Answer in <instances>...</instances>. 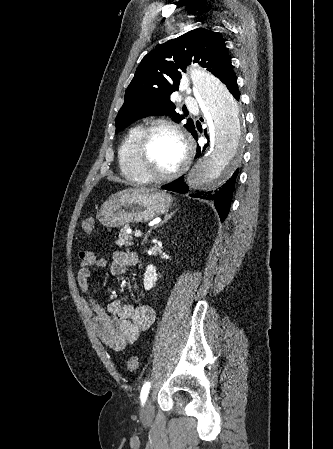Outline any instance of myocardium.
I'll use <instances>...</instances> for the list:
<instances>
[{
	"instance_id": "myocardium-1",
	"label": "myocardium",
	"mask_w": 333,
	"mask_h": 449,
	"mask_svg": "<svg viewBox=\"0 0 333 449\" xmlns=\"http://www.w3.org/2000/svg\"><path fill=\"white\" fill-rule=\"evenodd\" d=\"M157 131H168L176 135L184 148V158L179 166L169 173L157 174L146 166L148 145L152 135ZM193 157V149L186 134L176 125L166 121H155L144 127L135 148V159L139 173L149 182H168L179 177L190 165Z\"/></svg>"
}]
</instances>
